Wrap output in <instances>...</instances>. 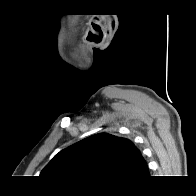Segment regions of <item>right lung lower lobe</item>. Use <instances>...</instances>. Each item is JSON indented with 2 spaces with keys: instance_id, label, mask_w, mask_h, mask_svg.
I'll list each match as a JSON object with an SVG mask.
<instances>
[{
  "instance_id": "98d812e1",
  "label": "right lung lower lobe",
  "mask_w": 196,
  "mask_h": 196,
  "mask_svg": "<svg viewBox=\"0 0 196 196\" xmlns=\"http://www.w3.org/2000/svg\"><path fill=\"white\" fill-rule=\"evenodd\" d=\"M137 184H139V182L133 183V184L121 185V187H131V186H135V185H137Z\"/></svg>"
}]
</instances>
